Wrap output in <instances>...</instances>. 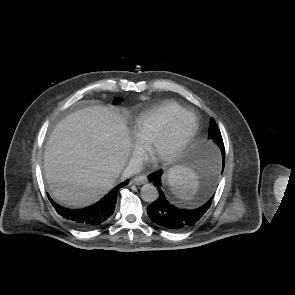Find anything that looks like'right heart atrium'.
<instances>
[{
	"mask_svg": "<svg viewBox=\"0 0 295 295\" xmlns=\"http://www.w3.org/2000/svg\"><path fill=\"white\" fill-rule=\"evenodd\" d=\"M143 155H144V147L136 143L133 147V151L131 154V163L134 165H138L142 161Z\"/></svg>",
	"mask_w": 295,
	"mask_h": 295,
	"instance_id": "right-heart-atrium-1",
	"label": "right heart atrium"
}]
</instances>
